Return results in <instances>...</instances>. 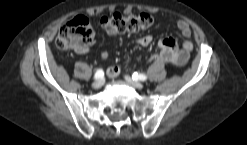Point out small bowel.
Wrapping results in <instances>:
<instances>
[{"label": "small bowel", "mask_w": 247, "mask_h": 145, "mask_svg": "<svg viewBox=\"0 0 247 145\" xmlns=\"http://www.w3.org/2000/svg\"><path fill=\"white\" fill-rule=\"evenodd\" d=\"M177 28L183 38L181 45L172 38H162L158 41L157 45L160 48V53L151 57L154 62H168L174 66L182 67L186 65L190 58V52L193 49V43L191 40V29L189 24L185 20H179L177 22ZM108 34L111 37H116V33L109 31ZM153 42V37L150 34L144 35L136 40V44L142 47H146ZM77 53L85 54L89 51V47H85L80 50H75ZM109 56L107 51H103L100 54L101 59L105 60ZM121 72L120 65H112L107 69V75L110 78L117 77Z\"/></svg>", "instance_id": "small-bowel-1"}]
</instances>
